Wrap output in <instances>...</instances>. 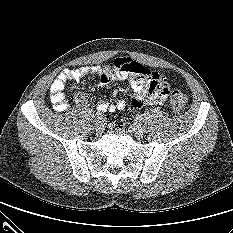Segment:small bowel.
<instances>
[{
    "mask_svg": "<svg viewBox=\"0 0 233 233\" xmlns=\"http://www.w3.org/2000/svg\"><path fill=\"white\" fill-rule=\"evenodd\" d=\"M137 66L144 67L131 58L119 57L98 67L64 69L50 86L51 100L58 110H64L67 107L64 93L67 82H80L86 75L96 74L102 86L111 82L131 79L129 96L116 104V108L119 110L138 109L144 105L164 103L169 94L171 79L155 71H150V76L147 78H139L134 70ZM91 100L89 95L82 94L79 97V101L85 104H89ZM108 108H112V106L106 103L97 106L99 111H105Z\"/></svg>",
    "mask_w": 233,
    "mask_h": 233,
    "instance_id": "1",
    "label": "small bowel"
}]
</instances>
